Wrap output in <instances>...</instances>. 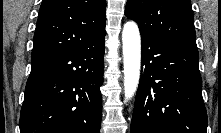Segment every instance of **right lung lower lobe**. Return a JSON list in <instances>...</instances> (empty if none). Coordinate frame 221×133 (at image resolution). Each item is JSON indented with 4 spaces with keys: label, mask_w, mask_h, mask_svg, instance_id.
<instances>
[{
    "label": "right lung lower lobe",
    "mask_w": 221,
    "mask_h": 133,
    "mask_svg": "<svg viewBox=\"0 0 221 133\" xmlns=\"http://www.w3.org/2000/svg\"><path fill=\"white\" fill-rule=\"evenodd\" d=\"M105 34L31 58L20 133H100Z\"/></svg>",
    "instance_id": "right-lung-lower-lobe-1"
}]
</instances>
